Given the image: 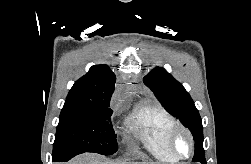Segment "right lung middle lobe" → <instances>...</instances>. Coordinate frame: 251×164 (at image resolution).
I'll use <instances>...</instances> for the list:
<instances>
[{"mask_svg": "<svg viewBox=\"0 0 251 164\" xmlns=\"http://www.w3.org/2000/svg\"><path fill=\"white\" fill-rule=\"evenodd\" d=\"M109 104L66 99L59 117L53 155L64 152L113 154L117 143Z\"/></svg>", "mask_w": 251, "mask_h": 164, "instance_id": "right-lung-middle-lobe-1", "label": "right lung middle lobe"}]
</instances>
